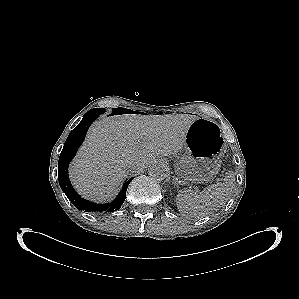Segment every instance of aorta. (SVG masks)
Wrapping results in <instances>:
<instances>
[{"instance_id":"1","label":"aorta","mask_w":299,"mask_h":299,"mask_svg":"<svg viewBox=\"0 0 299 299\" xmlns=\"http://www.w3.org/2000/svg\"><path fill=\"white\" fill-rule=\"evenodd\" d=\"M149 175L157 180H164L168 176L165 164L157 162L149 168Z\"/></svg>"}]
</instances>
